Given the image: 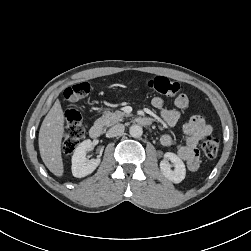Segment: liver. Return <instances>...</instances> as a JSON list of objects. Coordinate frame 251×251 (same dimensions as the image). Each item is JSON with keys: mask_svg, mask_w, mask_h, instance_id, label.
Masks as SVG:
<instances>
[{"mask_svg": "<svg viewBox=\"0 0 251 251\" xmlns=\"http://www.w3.org/2000/svg\"><path fill=\"white\" fill-rule=\"evenodd\" d=\"M64 133V113L59 100H56L39 131V151L46 167L56 176L64 172L61 142Z\"/></svg>", "mask_w": 251, "mask_h": 251, "instance_id": "1", "label": "liver"}]
</instances>
